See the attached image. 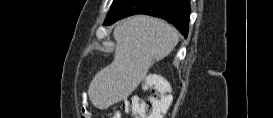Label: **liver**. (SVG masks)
I'll return each instance as SVG.
<instances>
[{
	"label": "liver",
	"instance_id": "6515ba94",
	"mask_svg": "<svg viewBox=\"0 0 273 118\" xmlns=\"http://www.w3.org/2000/svg\"><path fill=\"white\" fill-rule=\"evenodd\" d=\"M113 37L114 60L95 75L88 89L90 101L100 109L128 97L149 68L168 56L179 41V33L173 26L147 15L120 21Z\"/></svg>",
	"mask_w": 273,
	"mask_h": 118
}]
</instances>
